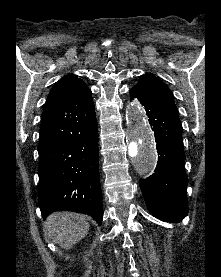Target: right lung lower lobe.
Segmentation results:
<instances>
[{
  "mask_svg": "<svg viewBox=\"0 0 221 277\" xmlns=\"http://www.w3.org/2000/svg\"><path fill=\"white\" fill-rule=\"evenodd\" d=\"M39 207L43 218L58 210L103 218L98 127L92 92L48 103L42 115Z\"/></svg>",
  "mask_w": 221,
  "mask_h": 277,
  "instance_id": "obj_1",
  "label": "right lung lower lobe"
}]
</instances>
